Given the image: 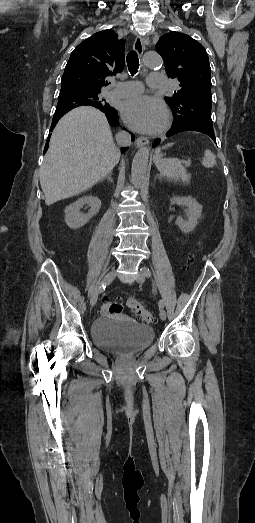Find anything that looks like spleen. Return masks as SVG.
<instances>
[{"label":"spleen","instance_id":"3e777b00","mask_svg":"<svg viewBox=\"0 0 255 523\" xmlns=\"http://www.w3.org/2000/svg\"><path fill=\"white\" fill-rule=\"evenodd\" d=\"M168 146H171V144H168ZM168 146H164V148H168ZM160 150L161 148H157L155 152L154 164L161 176L175 178V180H186L187 174L182 166V160H178V158H161V156H159ZM202 166H204V168H214V166H216V156L212 154L211 150L204 152Z\"/></svg>","mask_w":255,"mask_h":523}]
</instances>
